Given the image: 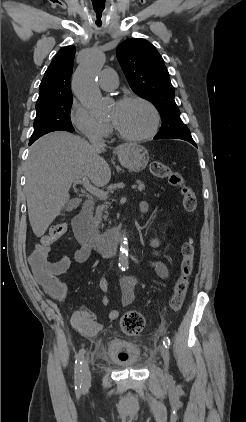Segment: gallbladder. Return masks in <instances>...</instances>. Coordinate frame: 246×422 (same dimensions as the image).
Listing matches in <instances>:
<instances>
[{"mask_svg": "<svg viewBox=\"0 0 246 422\" xmlns=\"http://www.w3.org/2000/svg\"><path fill=\"white\" fill-rule=\"evenodd\" d=\"M81 201L79 199H72L65 207L66 211H72L80 205Z\"/></svg>", "mask_w": 246, "mask_h": 422, "instance_id": "obj_1", "label": "gallbladder"}]
</instances>
